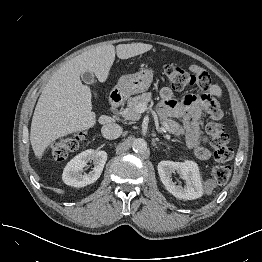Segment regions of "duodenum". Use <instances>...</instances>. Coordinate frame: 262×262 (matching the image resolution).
Here are the masks:
<instances>
[{
    "label": "duodenum",
    "instance_id": "1",
    "mask_svg": "<svg viewBox=\"0 0 262 262\" xmlns=\"http://www.w3.org/2000/svg\"><path fill=\"white\" fill-rule=\"evenodd\" d=\"M124 100L123 93L120 90H113L110 93V104L113 108L119 107Z\"/></svg>",
    "mask_w": 262,
    "mask_h": 262
}]
</instances>
